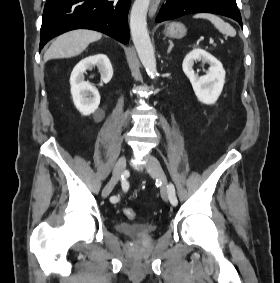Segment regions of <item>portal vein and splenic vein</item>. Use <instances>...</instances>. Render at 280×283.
<instances>
[{"label":"portal vein and splenic vein","mask_w":280,"mask_h":283,"mask_svg":"<svg viewBox=\"0 0 280 283\" xmlns=\"http://www.w3.org/2000/svg\"><path fill=\"white\" fill-rule=\"evenodd\" d=\"M213 43V39H210V44H212Z\"/></svg>","instance_id":"18ae733b"}]
</instances>
